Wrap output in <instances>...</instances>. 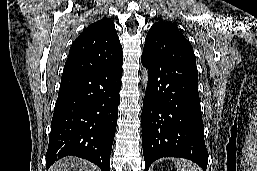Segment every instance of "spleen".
<instances>
[{
	"label": "spleen",
	"mask_w": 257,
	"mask_h": 171,
	"mask_svg": "<svg viewBox=\"0 0 257 171\" xmlns=\"http://www.w3.org/2000/svg\"><path fill=\"white\" fill-rule=\"evenodd\" d=\"M175 166L178 171H202L196 164L185 159H177L175 161Z\"/></svg>",
	"instance_id": "3e777b00"
}]
</instances>
